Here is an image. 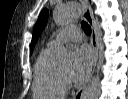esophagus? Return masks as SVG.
Listing matches in <instances>:
<instances>
[{
  "mask_svg": "<svg viewBox=\"0 0 128 99\" xmlns=\"http://www.w3.org/2000/svg\"><path fill=\"white\" fill-rule=\"evenodd\" d=\"M83 6V13H82V18L90 25L92 32H91V46L93 49V60L91 64V72H90V77L92 76L94 69L96 67L97 61H98V38H97V32H96V25L94 22V18L92 15V9L91 6L89 5V2L87 0H80ZM90 77L87 79V81L79 88V90L76 92L74 95L73 99H82L83 94L85 91V88L87 86V83L90 80Z\"/></svg>",
  "mask_w": 128,
  "mask_h": 99,
  "instance_id": "1",
  "label": "esophagus"
}]
</instances>
